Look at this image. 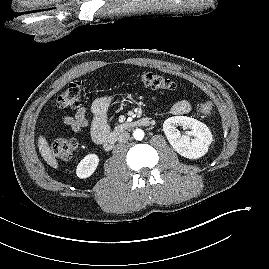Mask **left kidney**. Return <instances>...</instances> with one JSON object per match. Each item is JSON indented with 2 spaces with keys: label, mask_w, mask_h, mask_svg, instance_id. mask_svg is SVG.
<instances>
[{
  "label": "left kidney",
  "mask_w": 269,
  "mask_h": 269,
  "mask_svg": "<svg viewBox=\"0 0 269 269\" xmlns=\"http://www.w3.org/2000/svg\"><path fill=\"white\" fill-rule=\"evenodd\" d=\"M176 126L188 128L190 131L186 135H181ZM163 131L175 151L189 159L204 156L212 142L209 128L204 123L186 116H174L166 119Z\"/></svg>",
  "instance_id": "obj_1"
}]
</instances>
